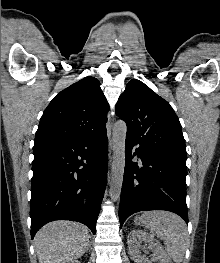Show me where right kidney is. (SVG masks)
I'll return each instance as SVG.
<instances>
[{"mask_svg":"<svg viewBox=\"0 0 220 263\" xmlns=\"http://www.w3.org/2000/svg\"><path fill=\"white\" fill-rule=\"evenodd\" d=\"M70 263H80V262L77 261V260H73V261H71Z\"/></svg>","mask_w":220,"mask_h":263,"instance_id":"ca27d5eb","label":"right kidney"}]
</instances>
